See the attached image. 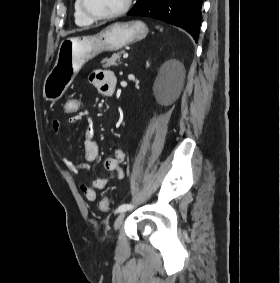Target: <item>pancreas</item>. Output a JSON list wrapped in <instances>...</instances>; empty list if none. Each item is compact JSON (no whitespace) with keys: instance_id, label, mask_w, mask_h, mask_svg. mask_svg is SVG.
Listing matches in <instances>:
<instances>
[{"instance_id":"1","label":"pancreas","mask_w":280,"mask_h":283,"mask_svg":"<svg viewBox=\"0 0 280 283\" xmlns=\"http://www.w3.org/2000/svg\"><path fill=\"white\" fill-rule=\"evenodd\" d=\"M121 54H123V51L114 53L111 57L103 59L101 61L102 67L109 68L112 66H117L118 65L117 61L119 60Z\"/></svg>"}]
</instances>
